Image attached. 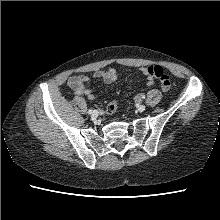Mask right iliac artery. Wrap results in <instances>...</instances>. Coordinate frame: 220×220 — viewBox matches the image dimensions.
Returning <instances> with one entry per match:
<instances>
[{"label": "right iliac artery", "instance_id": "82829eb1", "mask_svg": "<svg viewBox=\"0 0 220 220\" xmlns=\"http://www.w3.org/2000/svg\"><path fill=\"white\" fill-rule=\"evenodd\" d=\"M92 112H93V110H92V109H90V110L88 111V113H89V114H91Z\"/></svg>", "mask_w": 220, "mask_h": 220}]
</instances>
